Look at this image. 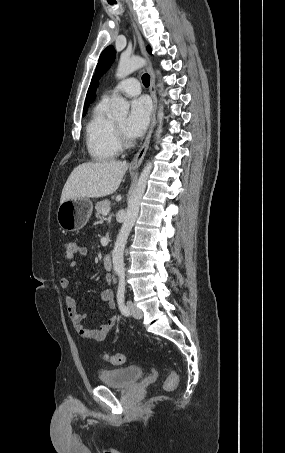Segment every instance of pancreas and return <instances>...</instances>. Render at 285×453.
<instances>
[{"label":"pancreas","mask_w":285,"mask_h":453,"mask_svg":"<svg viewBox=\"0 0 285 453\" xmlns=\"http://www.w3.org/2000/svg\"><path fill=\"white\" fill-rule=\"evenodd\" d=\"M110 201L109 200H103L100 202H97L95 205V210H96V218H99L100 215L102 214L103 210L109 209L110 208Z\"/></svg>","instance_id":"pancreas-1"}]
</instances>
